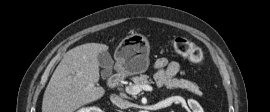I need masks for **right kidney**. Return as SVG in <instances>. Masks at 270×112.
<instances>
[{"label":"right kidney","instance_id":"ca27d5eb","mask_svg":"<svg viewBox=\"0 0 270 112\" xmlns=\"http://www.w3.org/2000/svg\"><path fill=\"white\" fill-rule=\"evenodd\" d=\"M77 112H103V111L97 107H87V108L80 109Z\"/></svg>","mask_w":270,"mask_h":112}]
</instances>
